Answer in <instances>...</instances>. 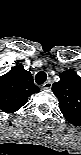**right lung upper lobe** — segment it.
Masks as SVG:
<instances>
[{"label": "right lung upper lobe", "mask_w": 81, "mask_h": 155, "mask_svg": "<svg viewBox=\"0 0 81 155\" xmlns=\"http://www.w3.org/2000/svg\"><path fill=\"white\" fill-rule=\"evenodd\" d=\"M39 91L31 73L22 65H16L0 77V109L13 113L27 102L29 96Z\"/></svg>", "instance_id": "obj_1"}]
</instances>
